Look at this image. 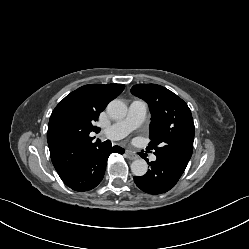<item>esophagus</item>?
<instances>
[{
    "instance_id": "esophagus-1",
    "label": "esophagus",
    "mask_w": 249,
    "mask_h": 249,
    "mask_svg": "<svg viewBox=\"0 0 249 249\" xmlns=\"http://www.w3.org/2000/svg\"><path fill=\"white\" fill-rule=\"evenodd\" d=\"M125 153H126L127 157H128L130 160H135V159L138 158V156H137L136 154L132 153V152L129 151V150H126Z\"/></svg>"
}]
</instances>
